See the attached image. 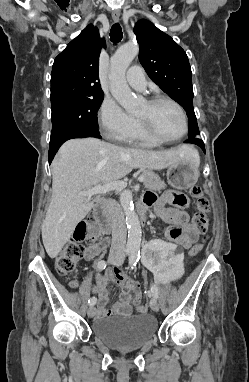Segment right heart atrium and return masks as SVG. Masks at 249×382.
I'll return each mask as SVG.
<instances>
[{
    "mask_svg": "<svg viewBox=\"0 0 249 382\" xmlns=\"http://www.w3.org/2000/svg\"><path fill=\"white\" fill-rule=\"evenodd\" d=\"M100 130L108 139L124 142L135 131L137 120L112 98H105L98 112Z\"/></svg>",
    "mask_w": 249,
    "mask_h": 382,
    "instance_id": "right-heart-atrium-1",
    "label": "right heart atrium"
}]
</instances>
